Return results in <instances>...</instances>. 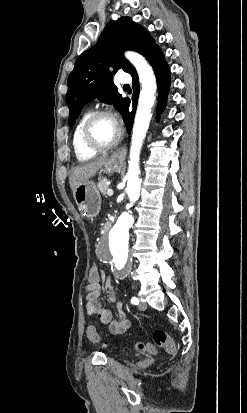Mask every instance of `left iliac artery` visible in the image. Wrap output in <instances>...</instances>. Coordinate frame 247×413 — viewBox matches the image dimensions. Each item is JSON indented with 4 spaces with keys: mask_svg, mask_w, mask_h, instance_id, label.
<instances>
[{
    "mask_svg": "<svg viewBox=\"0 0 247 413\" xmlns=\"http://www.w3.org/2000/svg\"><path fill=\"white\" fill-rule=\"evenodd\" d=\"M131 303H132V304H134V305H138V304H139V300H138V298H136V297H132V299H131Z\"/></svg>",
    "mask_w": 247,
    "mask_h": 413,
    "instance_id": "left-iliac-artery-1",
    "label": "left iliac artery"
}]
</instances>
